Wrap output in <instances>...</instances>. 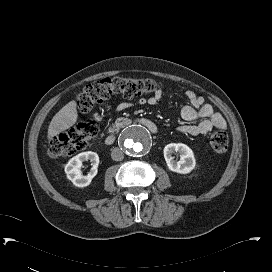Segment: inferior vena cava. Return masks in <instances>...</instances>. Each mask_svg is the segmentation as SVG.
Instances as JSON below:
<instances>
[{"label": "inferior vena cava", "instance_id": "inferior-vena-cava-1", "mask_svg": "<svg viewBox=\"0 0 272 272\" xmlns=\"http://www.w3.org/2000/svg\"><path fill=\"white\" fill-rule=\"evenodd\" d=\"M111 158L115 161H121L124 158V153L118 147L111 149Z\"/></svg>", "mask_w": 272, "mask_h": 272}]
</instances>
